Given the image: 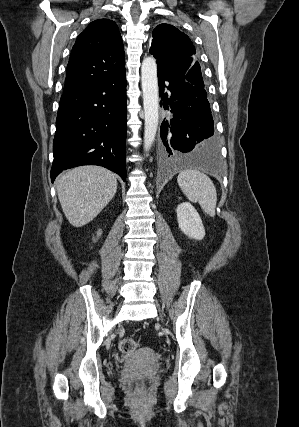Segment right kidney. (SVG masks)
Masks as SVG:
<instances>
[{"label": "right kidney", "mask_w": 299, "mask_h": 427, "mask_svg": "<svg viewBox=\"0 0 299 427\" xmlns=\"http://www.w3.org/2000/svg\"><path fill=\"white\" fill-rule=\"evenodd\" d=\"M98 235H101V232H100V231L98 232Z\"/></svg>", "instance_id": "obj_1"}]
</instances>
